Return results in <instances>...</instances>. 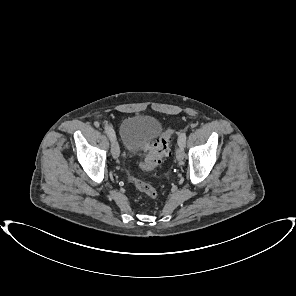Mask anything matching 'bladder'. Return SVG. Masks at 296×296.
Instances as JSON below:
<instances>
[{"label":"bladder","mask_w":296,"mask_h":296,"mask_svg":"<svg viewBox=\"0 0 296 296\" xmlns=\"http://www.w3.org/2000/svg\"><path fill=\"white\" fill-rule=\"evenodd\" d=\"M161 123L154 117L135 114L125 118L120 126V137L125 149L134 153L161 132Z\"/></svg>","instance_id":"31cf9c89"}]
</instances>
